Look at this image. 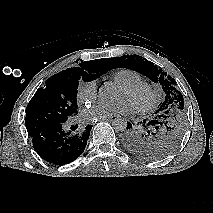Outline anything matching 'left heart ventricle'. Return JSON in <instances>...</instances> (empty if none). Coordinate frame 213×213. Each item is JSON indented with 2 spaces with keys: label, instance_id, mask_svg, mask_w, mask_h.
<instances>
[{
  "label": "left heart ventricle",
  "instance_id": "left-heart-ventricle-1",
  "mask_svg": "<svg viewBox=\"0 0 213 213\" xmlns=\"http://www.w3.org/2000/svg\"><path fill=\"white\" fill-rule=\"evenodd\" d=\"M149 99L148 93L145 90H140L135 93H129L123 89H120L118 94V101H126L131 106L145 105Z\"/></svg>",
  "mask_w": 213,
  "mask_h": 213
}]
</instances>
